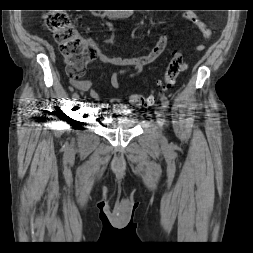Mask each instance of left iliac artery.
Masks as SVG:
<instances>
[{"label": "left iliac artery", "instance_id": "44dca946", "mask_svg": "<svg viewBox=\"0 0 253 253\" xmlns=\"http://www.w3.org/2000/svg\"><path fill=\"white\" fill-rule=\"evenodd\" d=\"M161 103H162V108L163 109L168 108L169 101H168L166 96H164V95L161 96Z\"/></svg>", "mask_w": 253, "mask_h": 253}]
</instances>
